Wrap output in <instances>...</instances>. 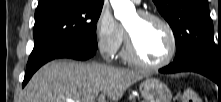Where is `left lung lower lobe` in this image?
I'll use <instances>...</instances> for the list:
<instances>
[{
	"instance_id": "1",
	"label": "left lung lower lobe",
	"mask_w": 221,
	"mask_h": 102,
	"mask_svg": "<svg viewBox=\"0 0 221 102\" xmlns=\"http://www.w3.org/2000/svg\"><path fill=\"white\" fill-rule=\"evenodd\" d=\"M185 71L200 73L216 82L219 86L221 85V69L199 56H188L174 60L172 64L159 70V72L166 74Z\"/></svg>"
}]
</instances>
